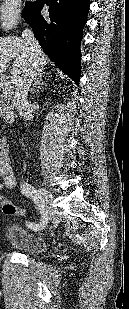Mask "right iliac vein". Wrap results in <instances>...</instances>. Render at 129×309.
Returning <instances> with one entry per match:
<instances>
[{
  "instance_id": "obj_1",
  "label": "right iliac vein",
  "mask_w": 129,
  "mask_h": 309,
  "mask_svg": "<svg viewBox=\"0 0 129 309\" xmlns=\"http://www.w3.org/2000/svg\"><path fill=\"white\" fill-rule=\"evenodd\" d=\"M39 192H40L41 197H42V203H43L44 208H45L46 217H45L44 225H42V227L38 230H43L45 228V226L47 225L48 221L52 218V215H53V208H52V204H51L52 195L48 190H46L44 188H41L39 190Z\"/></svg>"
}]
</instances>
